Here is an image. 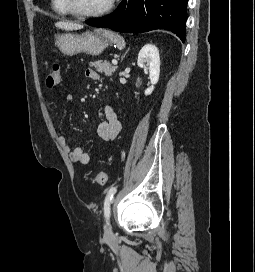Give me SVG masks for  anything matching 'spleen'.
<instances>
[{
    "instance_id": "3e777b00",
    "label": "spleen",
    "mask_w": 255,
    "mask_h": 272,
    "mask_svg": "<svg viewBox=\"0 0 255 272\" xmlns=\"http://www.w3.org/2000/svg\"><path fill=\"white\" fill-rule=\"evenodd\" d=\"M101 32L105 37H107L110 41L116 44L119 49L125 47V40L118 33L109 30H103Z\"/></svg>"
}]
</instances>
